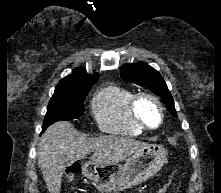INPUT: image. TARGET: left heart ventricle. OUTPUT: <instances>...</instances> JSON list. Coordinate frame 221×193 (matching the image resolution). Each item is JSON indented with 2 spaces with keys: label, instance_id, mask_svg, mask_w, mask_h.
<instances>
[{
  "label": "left heart ventricle",
  "instance_id": "left-heart-ventricle-1",
  "mask_svg": "<svg viewBox=\"0 0 221 193\" xmlns=\"http://www.w3.org/2000/svg\"><path fill=\"white\" fill-rule=\"evenodd\" d=\"M139 113L143 120L151 126H156L159 122V111L157 106L149 100L143 101L139 106Z\"/></svg>",
  "mask_w": 221,
  "mask_h": 193
}]
</instances>
